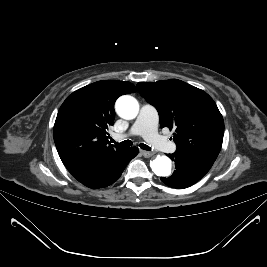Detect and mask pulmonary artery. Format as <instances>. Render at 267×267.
<instances>
[{
	"label": "pulmonary artery",
	"instance_id": "1",
	"mask_svg": "<svg viewBox=\"0 0 267 267\" xmlns=\"http://www.w3.org/2000/svg\"><path fill=\"white\" fill-rule=\"evenodd\" d=\"M158 123L159 115L155 107L150 104H144L129 132L114 134L113 138L118 141L128 136L141 135L154 148L165 152H174L176 145L158 134Z\"/></svg>",
	"mask_w": 267,
	"mask_h": 267
}]
</instances>
